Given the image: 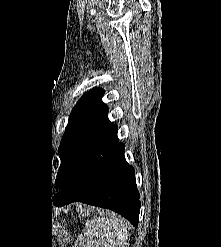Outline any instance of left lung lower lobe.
<instances>
[{
    "label": "left lung lower lobe",
    "instance_id": "0a47b994",
    "mask_svg": "<svg viewBox=\"0 0 221 247\" xmlns=\"http://www.w3.org/2000/svg\"><path fill=\"white\" fill-rule=\"evenodd\" d=\"M124 151L113 124L91 146L72 182L53 197L55 205L80 201L111 209L137 227L140 194L134 168L126 162Z\"/></svg>",
    "mask_w": 221,
    "mask_h": 247
}]
</instances>
